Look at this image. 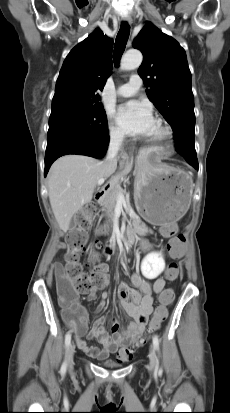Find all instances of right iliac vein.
<instances>
[{
	"instance_id": "obj_1",
	"label": "right iliac vein",
	"mask_w": 230,
	"mask_h": 413,
	"mask_svg": "<svg viewBox=\"0 0 230 413\" xmlns=\"http://www.w3.org/2000/svg\"><path fill=\"white\" fill-rule=\"evenodd\" d=\"M74 352H75V345L71 343L68 347L67 355H66V362H67L69 369L73 367Z\"/></svg>"
}]
</instances>
